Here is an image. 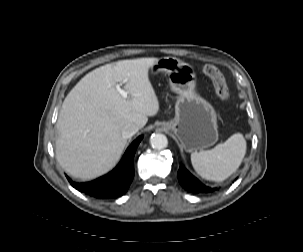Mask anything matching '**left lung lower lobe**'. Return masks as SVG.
<instances>
[{"instance_id":"1","label":"left lung lower lobe","mask_w":303,"mask_h":252,"mask_svg":"<svg viewBox=\"0 0 303 252\" xmlns=\"http://www.w3.org/2000/svg\"><path fill=\"white\" fill-rule=\"evenodd\" d=\"M178 180L183 188L193 193H209L216 190L203 185L198 179H196L191 173H189L184 166H181L178 171Z\"/></svg>"}]
</instances>
